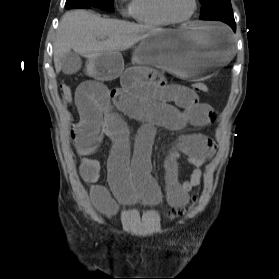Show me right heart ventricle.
<instances>
[{"instance_id":"right-heart-ventricle-1","label":"right heart ventricle","mask_w":279,"mask_h":279,"mask_svg":"<svg viewBox=\"0 0 279 279\" xmlns=\"http://www.w3.org/2000/svg\"><path fill=\"white\" fill-rule=\"evenodd\" d=\"M132 16L148 26H168L170 22L160 11L158 0H132Z\"/></svg>"}]
</instances>
